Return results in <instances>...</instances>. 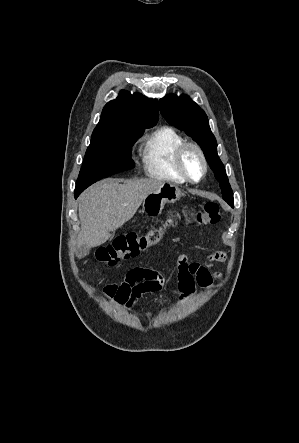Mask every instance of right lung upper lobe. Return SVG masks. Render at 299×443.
<instances>
[{
	"instance_id": "cb5924a9",
	"label": "right lung upper lobe",
	"mask_w": 299,
	"mask_h": 443,
	"mask_svg": "<svg viewBox=\"0 0 299 443\" xmlns=\"http://www.w3.org/2000/svg\"><path fill=\"white\" fill-rule=\"evenodd\" d=\"M157 100L122 90L117 99L105 105L99 123L92 136L118 131L138 129L158 121Z\"/></svg>"
}]
</instances>
